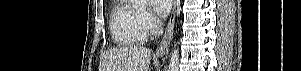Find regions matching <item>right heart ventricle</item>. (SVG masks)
<instances>
[{"mask_svg": "<svg viewBox=\"0 0 301 71\" xmlns=\"http://www.w3.org/2000/svg\"><path fill=\"white\" fill-rule=\"evenodd\" d=\"M110 31L113 41L122 46L143 44L148 36L141 24L139 10L126 0L118 1L114 6Z\"/></svg>", "mask_w": 301, "mask_h": 71, "instance_id": "obj_1", "label": "right heart ventricle"}]
</instances>
